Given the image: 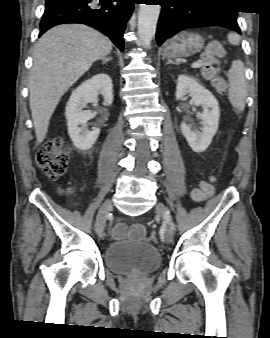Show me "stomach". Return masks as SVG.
I'll use <instances>...</instances> for the list:
<instances>
[{"label":"stomach","mask_w":270,"mask_h":338,"mask_svg":"<svg viewBox=\"0 0 270 338\" xmlns=\"http://www.w3.org/2000/svg\"><path fill=\"white\" fill-rule=\"evenodd\" d=\"M204 47V39L196 33L180 32L169 39L163 46V56L166 58L189 57Z\"/></svg>","instance_id":"obj_1"}]
</instances>
